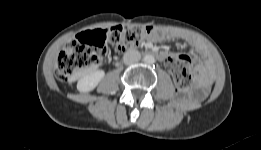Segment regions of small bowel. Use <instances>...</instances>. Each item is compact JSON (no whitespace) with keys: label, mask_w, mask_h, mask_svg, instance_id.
Wrapping results in <instances>:
<instances>
[{"label":"small bowel","mask_w":261,"mask_h":150,"mask_svg":"<svg viewBox=\"0 0 261 150\" xmlns=\"http://www.w3.org/2000/svg\"><path fill=\"white\" fill-rule=\"evenodd\" d=\"M148 39L150 42L158 43L165 40H175V39H182L188 42L191 46L196 48L199 51H202V45L201 43L195 39L194 37L179 33L176 31H169V30H153L152 33L148 36ZM147 46L150 45V43L146 44ZM158 58L163 60L165 62V65L167 67V61L172 57V54L169 51H160L158 52Z\"/></svg>","instance_id":"1"}]
</instances>
